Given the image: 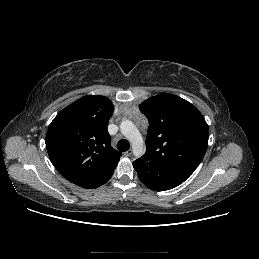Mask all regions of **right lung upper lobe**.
<instances>
[{
    "mask_svg": "<svg viewBox=\"0 0 259 259\" xmlns=\"http://www.w3.org/2000/svg\"><path fill=\"white\" fill-rule=\"evenodd\" d=\"M114 111L105 96L88 95L57 114L46 134V148L57 171L87 189L107 182L121 153L111 147L107 125Z\"/></svg>",
    "mask_w": 259,
    "mask_h": 259,
    "instance_id": "right-lung-upper-lobe-1",
    "label": "right lung upper lobe"
}]
</instances>
